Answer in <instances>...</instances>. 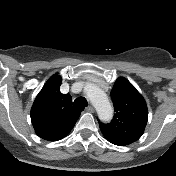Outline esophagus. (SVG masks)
Wrapping results in <instances>:
<instances>
[{"label": "esophagus", "mask_w": 176, "mask_h": 176, "mask_svg": "<svg viewBox=\"0 0 176 176\" xmlns=\"http://www.w3.org/2000/svg\"><path fill=\"white\" fill-rule=\"evenodd\" d=\"M86 110H87L88 112H91V113H93V112L95 111L92 106H88V107L86 108Z\"/></svg>", "instance_id": "34e87169"}]
</instances>
